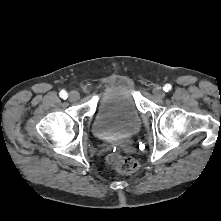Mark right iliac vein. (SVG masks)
I'll return each instance as SVG.
<instances>
[{
    "label": "right iliac vein",
    "mask_w": 221,
    "mask_h": 221,
    "mask_svg": "<svg viewBox=\"0 0 221 221\" xmlns=\"http://www.w3.org/2000/svg\"><path fill=\"white\" fill-rule=\"evenodd\" d=\"M68 97L71 102H75V101L79 100L80 94H79V92L73 90L69 93Z\"/></svg>",
    "instance_id": "obj_1"
}]
</instances>
